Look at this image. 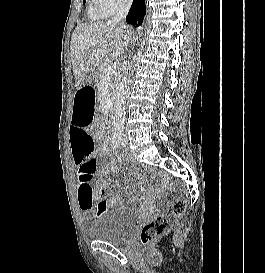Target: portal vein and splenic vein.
<instances>
[{
	"mask_svg": "<svg viewBox=\"0 0 265 273\" xmlns=\"http://www.w3.org/2000/svg\"><path fill=\"white\" fill-rule=\"evenodd\" d=\"M117 67L118 63L115 61H111L105 69L104 77L107 79L110 78L116 72Z\"/></svg>",
	"mask_w": 265,
	"mask_h": 273,
	"instance_id": "18ae733b",
	"label": "portal vein and splenic vein"
}]
</instances>
